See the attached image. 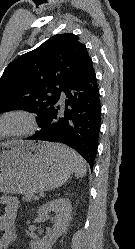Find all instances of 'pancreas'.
<instances>
[{"label":"pancreas","mask_w":135,"mask_h":249,"mask_svg":"<svg viewBox=\"0 0 135 249\" xmlns=\"http://www.w3.org/2000/svg\"><path fill=\"white\" fill-rule=\"evenodd\" d=\"M32 197H33L32 194H26V196L23 197V201H26V202L31 201Z\"/></svg>","instance_id":"1"}]
</instances>
